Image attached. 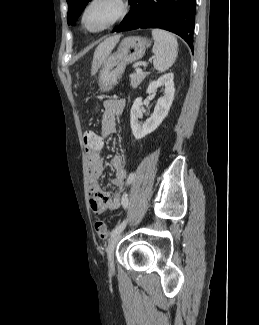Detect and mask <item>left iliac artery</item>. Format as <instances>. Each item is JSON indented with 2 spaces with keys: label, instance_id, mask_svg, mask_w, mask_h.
Segmentation results:
<instances>
[{
  "label": "left iliac artery",
  "instance_id": "obj_1",
  "mask_svg": "<svg viewBox=\"0 0 259 325\" xmlns=\"http://www.w3.org/2000/svg\"><path fill=\"white\" fill-rule=\"evenodd\" d=\"M135 178V174L134 173H130L127 179V184H131L133 182ZM122 205L123 207L126 209L128 207V197L127 194L125 193L122 197ZM126 225V221L124 220L123 222H121L119 225H117L111 232V237H113L114 235L118 234L119 232H121L124 227Z\"/></svg>",
  "mask_w": 259,
  "mask_h": 325
}]
</instances>
